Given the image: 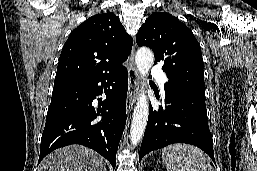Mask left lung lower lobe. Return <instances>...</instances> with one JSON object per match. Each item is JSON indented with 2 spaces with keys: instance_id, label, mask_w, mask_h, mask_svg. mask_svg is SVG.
I'll list each match as a JSON object with an SVG mask.
<instances>
[{
  "instance_id": "obj_1",
  "label": "left lung lower lobe",
  "mask_w": 257,
  "mask_h": 171,
  "mask_svg": "<svg viewBox=\"0 0 257 171\" xmlns=\"http://www.w3.org/2000/svg\"><path fill=\"white\" fill-rule=\"evenodd\" d=\"M164 104L158 111L150 108L139 161L150 151L169 144L188 143L202 149L215 162L205 95L166 83Z\"/></svg>"
}]
</instances>
